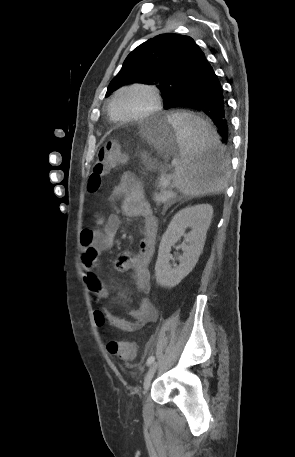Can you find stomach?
Masks as SVG:
<instances>
[{"mask_svg": "<svg viewBox=\"0 0 295 457\" xmlns=\"http://www.w3.org/2000/svg\"><path fill=\"white\" fill-rule=\"evenodd\" d=\"M141 135L144 140L158 148L177 147V134L168 117H157L148 120L141 127Z\"/></svg>", "mask_w": 295, "mask_h": 457, "instance_id": "stomach-1", "label": "stomach"}]
</instances>
